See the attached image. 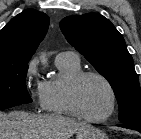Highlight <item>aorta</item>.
<instances>
[{
    "instance_id": "1",
    "label": "aorta",
    "mask_w": 141,
    "mask_h": 139,
    "mask_svg": "<svg viewBox=\"0 0 141 139\" xmlns=\"http://www.w3.org/2000/svg\"><path fill=\"white\" fill-rule=\"evenodd\" d=\"M40 60H41V62H42L43 64H46V63H47V58H46V56H45L44 53H41V54H40Z\"/></svg>"
}]
</instances>
